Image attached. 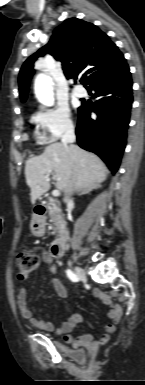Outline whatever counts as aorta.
I'll list each match as a JSON object with an SVG mask.
<instances>
[{"instance_id":"762f6f07","label":"aorta","mask_w":145,"mask_h":385,"mask_svg":"<svg viewBox=\"0 0 145 385\" xmlns=\"http://www.w3.org/2000/svg\"><path fill=\"white\" fill-rule=\"evenodd\" d=\"M34 90L36 98L46 106L54 104V82L46 74H39L35 79Z\"/></svg>"}]
</instances>
